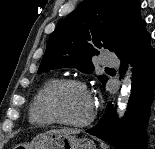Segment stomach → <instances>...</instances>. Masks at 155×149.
<instances>
[{
	"instance_id": "0dacf381",
	"label": "stomach",
	"mask_w": 155,
	"mask_h": 149,
	"mask_svg": "<svg viewBox=\"0 0 155 149\" xmlns=\"http://www.w3.org/2000/svg\"><path fill=\"white\" fill-rule=\"evenodd\" d=\"M23 149H96L94 141L87 138H77L71 134L46 132L37 135L31 143L16 146Z\"/></svg>"
}]
</instances>
